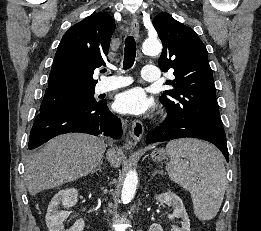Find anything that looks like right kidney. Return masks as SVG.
Listing matches in <instances>:
<instances>
[{
    "label": "right kidney",
    "mask_w": 261,
    "mask_h": 231,
    "mask_svg": "<svg viewBox=\"0 0 261 231\" xmlns=\"http://www.w3.org/2000/svg\"><path fill=\"white\" fill-rule=\"evenodd\" d=\"M78 191L75 188L60 190L54 195L49 203L46 213V225L49 231H83L85 223L83 219L76 220L70 229H64L63 221L67 218L68 212L59 210V205L65 208L76 204Z\"/></svg>",
    "instance_id": "ca27d5eb"
}]
</instances>
